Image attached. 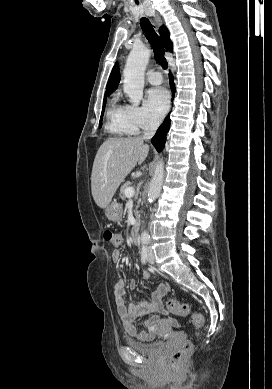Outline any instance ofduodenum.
Masks as SVG:
<instances>
[{
    "label": "duodenum",
    "instance_id": "duodenum-1",
    "mask_svg": "<svg viewBox=\"0 0 272 389\" xmlns=\"http://www.w3.org/2000/svg\"><path fill=\"white\" fill-rule=\"evenodd\" d=\"M139 233H140V224L136 222L132 226L131 232H130L131 239L134 243L139 242Z\"/></svg>",
    "mask_w": 272,
    "mask_h": 389
}]
</instances>
